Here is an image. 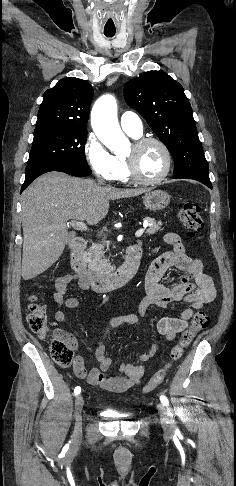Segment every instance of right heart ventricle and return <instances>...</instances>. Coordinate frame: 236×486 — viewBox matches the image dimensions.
I'll return each instance as SVG.
<instances>
[{
  "mask_svg": "<svg viewBox=\"0 0 236 486\" xmlns=\"http://www.w3.org/2000/svg\"><path fill=\"white\" fill-rule=\"evenodd\" d=\"M132 137L139 138L140 136L139 137L132 136ZM116 160H117L118 167H119L116 180H119L121 182H129L130 178H129V175H128L127 166H126L124 157L117 156Z\"/></svg>",
  "mask_w": 236,
  "mask_h": 486,
  "instance_id": "right-heart-ventricle-1",
  "label": "right heart ventricle"
}]
</instances>
